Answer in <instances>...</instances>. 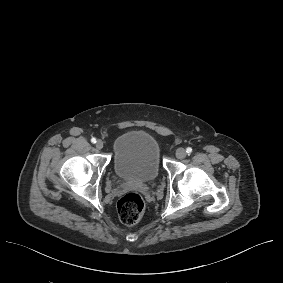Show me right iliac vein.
<instances>
[{"label": "right iliac vein", "mask_w": 283, "mask_h": 283, "mask_svg": "<svg viewBox=\"0 0 283 283\" xmlns=\"http://www.w3.org/2000/svg\"><path fill=\"white\" fill-rule=\"evenodd\" d=\"M95 146H96L97 149L101 150L103 148V146H104V143H103V141L98 140L96 142Z\"/></svg>", "instance_id": "63e3f726"}]
</instances>
